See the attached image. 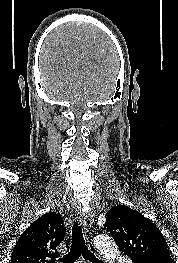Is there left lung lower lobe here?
<instances>
[{"label":"left lung lower lobe","instance_id":"obj_1","mask_svg":"<svg viewBox=\"0 0 178 263\" xmlns=\"http://www.w3.org/2000/svg\"><path fill=\"white\" fill-rule=\"evenodd\" d=\"M142 263H162V262H158V261H145V262H142Z\"/></svg>","mask_w":178,"mask_h":263}]
</instances>
